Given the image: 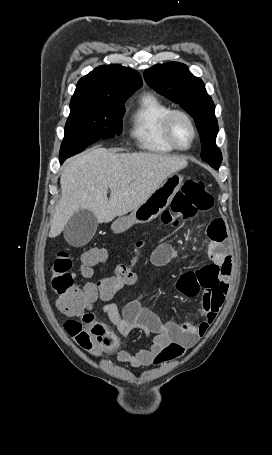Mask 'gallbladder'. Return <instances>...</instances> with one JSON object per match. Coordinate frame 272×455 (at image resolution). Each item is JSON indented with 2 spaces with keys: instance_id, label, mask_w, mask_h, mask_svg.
<instances>
[{
  "instance_id": "1",
  "label": "gallbladder",
  "mask_w": 272,
  "mask_h": 455,
  "mask_svg": "<svg viewBox=\"0 0 272 455\" xmlns=\"http://www.w3.org/2000/svg\"><path fill=\"white\" fill-rule=\"evenodd\" d=\"M98 222L94 214L86 209L77 211L64 228V238L72 246H83L94 236Z\"/></svg>"
}]
</instances>
